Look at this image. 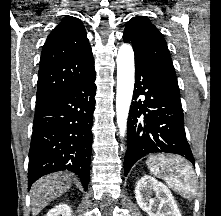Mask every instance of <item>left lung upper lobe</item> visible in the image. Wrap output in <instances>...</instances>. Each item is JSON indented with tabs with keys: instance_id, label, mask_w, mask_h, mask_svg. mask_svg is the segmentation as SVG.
Returning <instances> with one entry per match:
<instances>
[{
	"instance_id": "left-lung-upper-lobe-1",
	"label": "left lung upper lobe",
	"mask_w": 221,
	"mask_h": 216,
	"mask_svg": "<svg viewBox=\"0 0 221 216\" xmlns=\"http://www.w3.org/2000/svg\"><path fill=\"white\" fill-rule=\"evenodd\" d=\"M124 42L133 46L135 58L162 69L176 80V73L166 41L158 29L144 16L130 19L126 25ZM180 94V92H179Z\"/></svg>"
}]
</instances>
